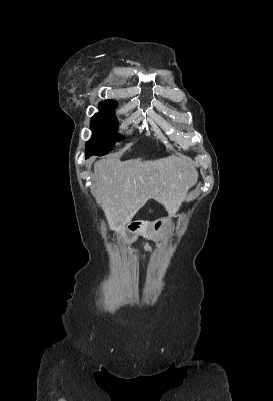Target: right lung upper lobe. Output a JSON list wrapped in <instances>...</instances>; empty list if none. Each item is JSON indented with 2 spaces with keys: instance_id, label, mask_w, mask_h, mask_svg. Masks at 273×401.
I'll return each mask as SVG.
<instances>
[{
  "instance_id": "1",
  "label": "right lung upper lobe",
  "mask_w": 273,
  "mask_h": 401,
  "mask_svg": "<svg viewBox=\"0 0 273 401\" xmlns=\"http://www.w3.org/2000/svg\"><path fill=\"white\" fill-rule=\"evenodd\" d=\"M100 105L116 107V103L113 100H106L105 102H101Z\"/></svg>"
}]
</instances>
